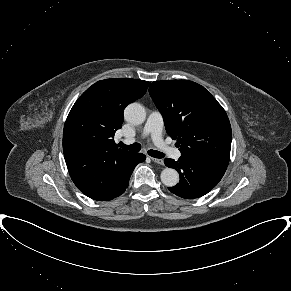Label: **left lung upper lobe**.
<instances>
[{"mask_svg":"<svg viewBox=\"0 0 291 291\" xmlns=\"http://www.w3.org/2000/svg\"><path fill=\"white\" fill-rule=\"evenodd\" d=\"M149 93L181 155L229 159V119L203 86L188 80H162L153 82Z\"/></svg>","mask_w":291,"mask_h":291,"instance_id":"1","label":"left lung upper lobe"}]
</instances>
